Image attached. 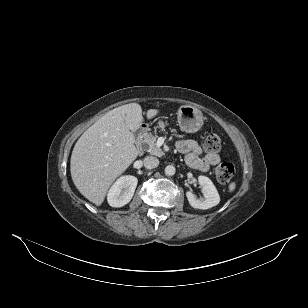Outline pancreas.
I'll list each match as a JSON object with an SVG mask.
<instances>
[{"label":"pancreas","mask_w":308,"mask_h":308,"mask_svg":"<svg viewBox=\"0 0 308 308\" xmlns=\"http://www.w3.org/2000/svg\"><path fill=\"white\" fill-rule=\"evenodd\" d=\"M167 123H164L162 121H160L158 123V128L161 129V131H164L165 130V127H166ZM171 132L174 133L175 136L177 137H180L178 136L176 133H177V130L176 129H171ZM157 139H158V135H157V132L156 130L154 131V133H148L144 136L143 138V141L146 145V147L148 148V151L152 154V155H156V156H163L164 153L163 151L161 150L160 147H158L156 145V142H157Z\"/></svg>","instance_id":"pancreas-1"}]
</instances>
